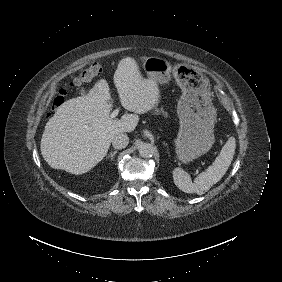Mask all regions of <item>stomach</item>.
Listing matches in <instances>:
<instances>
[{
  "label": "stomach",
  "mask_w": 282,
  "mask_h": 282,
  "mask_svg": "<svg viewBox=\"0 0 282 282\" xmlns=\"http://www.w3.org/2000/svg\"><path fill=\"white\" fill-rule=\"evenodd\" d=\"M141 68L147 79L155 84L167 85L173 77L182 89L177 106L181 125L177 141L179 158L190 161L207 151L214 142L213 128L216 122L209 78L202 73L193 72L185 64H173L156 55L145 57Z\"/></svg>",
  "instance_id": "1"
}]
</instances>
